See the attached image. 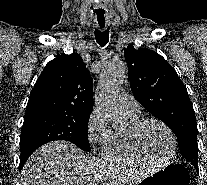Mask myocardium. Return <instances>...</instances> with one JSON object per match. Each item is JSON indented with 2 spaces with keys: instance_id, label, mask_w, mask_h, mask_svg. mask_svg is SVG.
<instances>
[{
  "instance_id": "obj_1",
  "label": "myocardium",
  "mask_w": 207,
  "mask_h": 185,
  "mask_svg": "<svg viewBox=\"0 0 207 185\" xmlns=\"http://www.w3.org/2000/svg\"><path fill=\"white\" fill-rule=\"evenodd\" d=\"M150 122L160 124L163 128H165V130L169 133V135L171 137L172 151L169 154V156L166 158H163V159L154 158L153 156H151L148 153L147 149L145 148V146L142 142V137H141L142 131H143L144 127ZM128 133H129V138H130L132 144L134 145V147L144 157H146L148 160H150L154 163L166 164V163L170 162L176 155L177 146H178L176 135H175L174 131L172 130V128L165 121H163L159 118H155V117L140 118L137 121H135L133 124L130 125Z\"/></svg>"
}]
</instances>
